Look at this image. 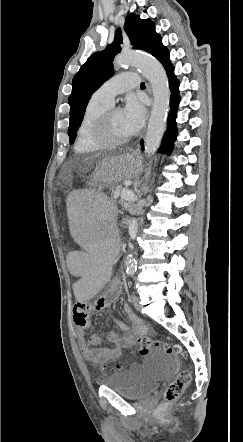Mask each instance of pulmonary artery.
I'll use <instances>...</instances> for the list:
<instances>
[{
    "mask_svg": "<svg viewBox=\"0 0 243 442\" xmlns=\"http://www.w3.org/2000/svg\"><path fill=\"white\" fill-rule=\"evenodd\" d=\"M139 85L136 72H122L107 80L98 88L93 97L103 103L113 105L115 96Z\"/></svg>",
    "mask_w": 243,
    "mask_h": 442,
    "instance_id": "obj_1",
    "label": "pulmonary artery"
}]
</instances>
